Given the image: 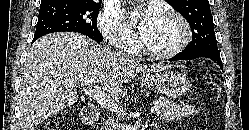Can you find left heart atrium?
Returning <instances> with one entry per match:
<instances>
[{"instance_id": "obj_1", "label": "left heart atrium", "mask_w": 249, "mask_h": 130, "mask_svg": "<svg viewBox=\"0 0 249 130\" xmlns=\"http://www.w3.org/2000/svg\"><path fill=\"white\" fill-rule=\"evenodd\" d=\"M159 10L156 7H148L142 13V19L139 23L138 30L141 38L144 40L151 28L160 17Z\"/></svg>"}]
</instances>
